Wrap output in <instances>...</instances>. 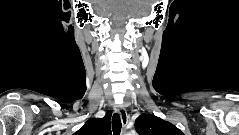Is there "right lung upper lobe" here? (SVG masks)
<instances>
[{"instance_id": "right-lung-upper-lobe-1", "label": "right lung upper lobe", "mask_w": 239, "mask_h": 135, "mask_svg": "<svg viewBox=\"0 0 239 135\" xmlns=\"http://www.w3.org/2000/svg\"><path fill=\"white\" fill-rule=\"evenodd\" d=\"M111 114V111H107L103 118L89 119L74 135H111Z\"/></svg>"}]
</instances>
